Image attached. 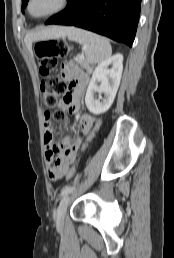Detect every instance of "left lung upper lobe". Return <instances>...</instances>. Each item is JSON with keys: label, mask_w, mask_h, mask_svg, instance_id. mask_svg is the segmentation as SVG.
I'll return each instance as SVG.
<instances>
[{"label": "left lung upper lobe", "mask_w": 174, "mask_h": 258, "mask_svg": "<svg viewBox=\"0 0 174 258\" xmlns=\"http://www.w3.org/2000/svg\"><path fill=\"white\" fill-rule=\"evenodd\" d=\"M28 0H22V11L24 10V8L27 5Z\"/></svg>", "instance_id": "obj_1"}]
</instances>
